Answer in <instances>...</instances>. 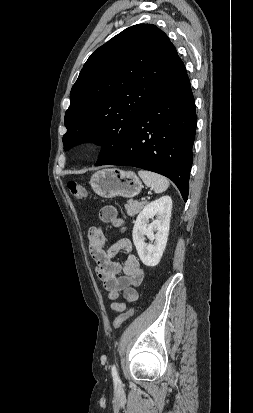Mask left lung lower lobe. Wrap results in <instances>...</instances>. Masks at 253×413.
<instances>
[{
  "label": "left lung lower lobe",
  "mask_w": 253,
  "mask_h": 413,
  "mask_svg": "<svg viewBox=\"0 0 253 413\" xmlns=\"http://www.w3.org/2000/svg\"><path fill=\"white\" fill-rule=\"evenodd\" d=\"M196 122L190 81L178 58L124 146L102 165L133 166L162 174L187 201Z\"/></svg>",
  "instance_id": "obj_1"
}]
</instances>
